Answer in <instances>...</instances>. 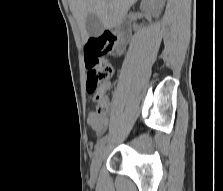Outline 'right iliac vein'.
<instances>
[{
	"label": "right iliac vein",
	"instance_id": "obj_1",
	"mask_svg": "<svg viewBox=\"0 0 223 191\" xmlns=\"http://www.w3.org/2000/svg\"><path fill=\"white\" fill-rule=\"evenodd\" d=\"M105 155V148L104 146L100 147L99 150L96 152L92 165H91V175L93 177H96L99 171L100 164L103 160V157Z\"/></svg>",
	"mask_w": 223,
	"mask_h": 191
}]
</instances>
